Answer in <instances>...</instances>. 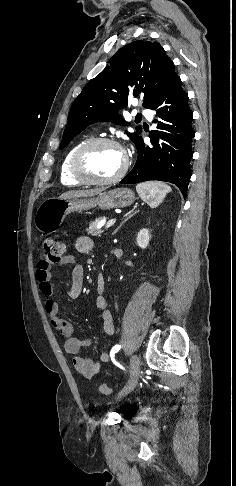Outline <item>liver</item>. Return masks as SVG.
<instances>
[{"label":"liver","instance_id":"liver-1","mask_svg":"<svg viewBox=\"0 0 236 486\" xmlns=\"http://www.w3.org/2000/svg\"><path fill=\"white\" fill-rule=\"evenodd\" d=\"M102 192V189H91V190H72L67 191L59 196L61 199H71V198H81V197H92Z\"/></svg>","mask_w":236,"mask_h":486}]
</instances>
